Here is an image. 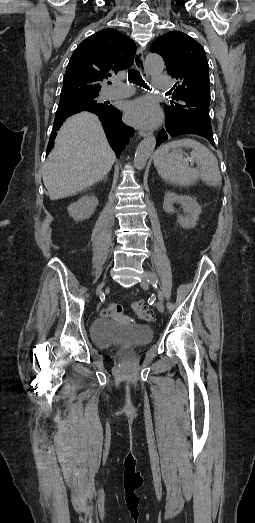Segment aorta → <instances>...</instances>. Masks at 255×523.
Listing matches in <instances>:
<instances>
[{
	"label": "aorta",
	"instance_id": "aorta-1",
	"mask_svg": "<svg viewBox=\"0 0 255 523\" xmlns=\"http://www.w3.org/2000/svg\"><path fill=\"white\" fill-rule=\"evenodd\" d=\"M146 72L150 75L160 74L165 64L161 56L157 54H148L145 59ZM156 145V137L154 135L147 136L144 138L137 147L134 156V166L138 170H142L154 151Z\"/></svg>",
	"mask_w": 255,
	"mask_h": 523
}]
</instances>
